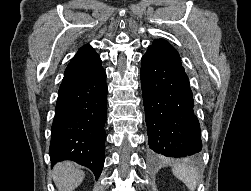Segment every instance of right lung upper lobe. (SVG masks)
I'll return each instance as SVG.
<instances>
[{"label": "right lung upper lobe", "mask_w": 251, "mask_h": 191, "mask_svg": "<svg viewBox=\"0 0 251 191\" xmlns=\"http://www.w3.org/2000/svg\"><path fill=\"white\" fill-rule=\"evenodd\" d=\"M103 73L99 55L90 45H84L67 66L59 91L85 83Z\"/></svg>", "instance_id": "obj_1"}]
</instances>
